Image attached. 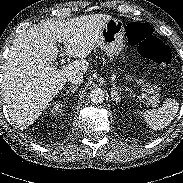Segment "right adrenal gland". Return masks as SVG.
<instances>
[{"instance_id": "right-adrenal-gland-1", "label": "right adrenal gland", "mask_w": 183, "mask_h": 183, "mask_svg": "<svg viewBox=\"0 0 183 183\" xmlns=\"http://www.w3.org/2000/svg\"><path fill=\"white\" fill-rule=\"evenodd\" d=\"M77 86H71V87H69V90H67V93H69V92H72V93H74L76 90H77Z\"/></svg>"}]
</instances>
